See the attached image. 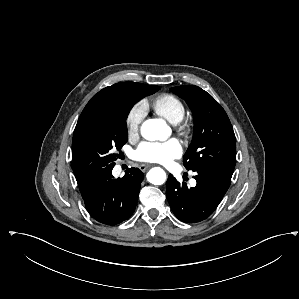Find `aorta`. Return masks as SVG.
Instances as JSON below:
<instances>
[{"label": "aorta", "instance_id": "aorta-1", "mask_svg": "<svg viewBox=\"0 0 299 299\" xmlns=\"http://www.w3.org/2000/svg\"><path fill=\"white\" fill-rule=\"evenodd\" d=\"M141 135L147 140H166L170 128L163 119H148L141 126ZM147 180L154 185H162L166 181V173L160 167H154L147 173Z\"/></svg>", "mask_w": 299, "mask_h": 299}]
</instances>
